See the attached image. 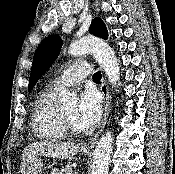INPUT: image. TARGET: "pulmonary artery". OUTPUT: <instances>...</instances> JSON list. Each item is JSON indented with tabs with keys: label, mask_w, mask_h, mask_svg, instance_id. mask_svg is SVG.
<instances>
[{
	"label": "pulmonary artery",
	"mask_w": 175,
	"mask_h": 174,
	"mask_svg": "<svg viewBox=\"0 0 175 174\" xmlns=\"http://www.w3.org/2000/svg\"><path fill=\"white\" fill-rule=\"evenodd\" d=\"M90 73L91 68L87 62H77L52 82L51 89L58 91L62 88L78 84Z\"/></svg>",
	"instance_id": "e3ab8cb5"
}]
</instances>
